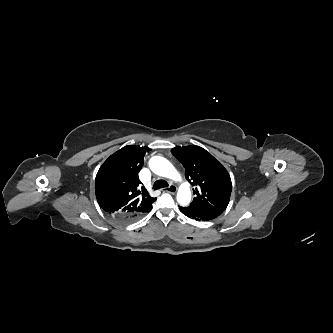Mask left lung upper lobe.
<instances>
[{"mask_svg":"<svg viewBox=\"0 0 333 333\" xmlns=\"http://www.w3.org/2000/svg\"><path fill=\"white\" fill-rule=\"evenodd\" d=\"M171 152L185 167L186 179L195 186V199L189 206L223 212L229 203L232 188L230 176L223 165L199 146L175 147Z\"/></svg>","mask_w":333,"mask_h":333,"instance_id":"left-lung-upper-lobe-1","label":"left lung upper lobe"}]
</instances>
